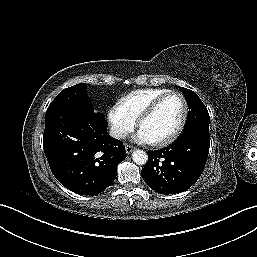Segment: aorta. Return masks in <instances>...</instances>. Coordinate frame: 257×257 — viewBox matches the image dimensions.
I'll return each instance as SVG.
<instances>
[{
  "instance_id": "1",
  "label": "aorta",
  "mask_w": 257,
  "mask_h": 257,
  "mask_svg": "<svg viewBox=\"0 0 257 257\" xmlns=\"http://www.w3.org/2000/svg\"><path fill=\"white\" fill-rule=\"evenodd\" d=\"M133 161L138 165H144L146 164L148 160V156L145 151L143 150H136L132 154Z\"/></svg>"
}]
</instances>
